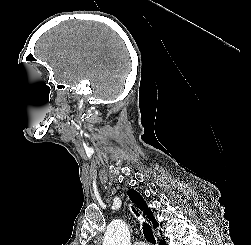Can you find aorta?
I'll list each match as a JSON object with an SVG mask.
<instances>
[{"mask_svg": "<svg viewBox=\"0 0 251 245\" xmlns=\"http://www.w3.org/2000/svg\"><path fill=\"white\" fill-rule=\"evenodd\" d=\"M103 245H131L129 228L124 221L113 220L108 225Z\"/></svg>", "mask_w": 251, "mask_h": 245, "instance_id": "1", "label": "aorta"}]
</instances>
